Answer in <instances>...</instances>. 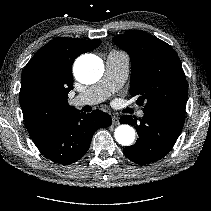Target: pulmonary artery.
<instances>
[{
	"instance_id": "obj_1",
	"label": "pulmonary artery",
	"mask_w": 211,
	"mask_h": 211,
	"mask_svg": "<svg viewBox=\"0 0 211 211\" xmlns=\"http://www.w3.org/2000/svg\"><path fill=\"white\" fill-rule=\"evenodd\" d=\"M129 59L119 52L111 51L106 58V69L102 80L95 86L90 87L83 93L77 95L72 104L80 105H95L106 100L114 91L119 89L128 77ZM144 112H138V116L142 117Z\"/></svg>"
}]
</instances>
